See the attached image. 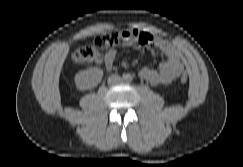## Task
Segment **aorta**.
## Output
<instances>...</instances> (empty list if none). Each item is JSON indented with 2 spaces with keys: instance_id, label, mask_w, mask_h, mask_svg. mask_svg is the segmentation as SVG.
<instances>
[{
  "instance_id": "aorta-1",
  "label": "aorta",
  "mask_w": 243,
  "mask_h": 167,
  "mask_svg": "<svg viewBox=\"0 0 243 167\" xmlns=\"http://www.w3.org/2000/svg\"><path fill=\"white\" fill-rule=\"evenodd\" d=\"M123 80L126 82H130L132 80V76L130 74H124Z\"/></svg>"
}]
</instances>
